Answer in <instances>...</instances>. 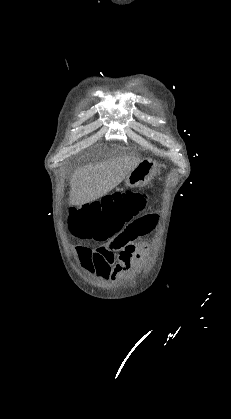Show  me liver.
<instances>
[{
	"label": "liver",
	"mask_w": 231,
	"mask_h": 419,
	"mask_svg": "<svg viewBox=\"0 0 231 419\" xmlns=\"http://www.w3.org/2000/svg\"><path fill=\"white\" fill-rule=\"evenodd\" d=\"M142 160L134 156L113 157L75 171L70 179L69 203L93 202L117 187Z\"/></svg>",
	"instance_id": "6515ba94"
}]
</instances>
